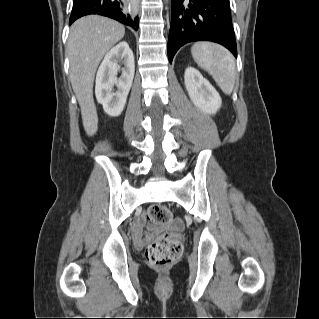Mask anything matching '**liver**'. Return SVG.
Returning <instances> with one entry per match:
<instances>
[{"instance_id":"1","label":"liver","mask_w":319,"mask_h":319,"mask_svg":"<svg viewBox=\"0 0 319 319\" xmlns=\"http://www.w3.org/2000/svg\"><path fill=\"white\" fill-rule=\"evenodd\" d=\"M124 34L122 24L98 15L82 17L70 28L67 45L69 74L88 136L94 135L98 130V116L93 99L96 70L103 56Z\"/></svg>"}]
</instances>
